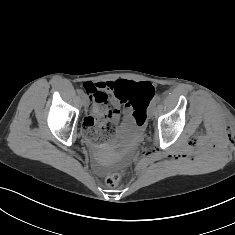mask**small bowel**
I'll list each match as a JSON object with an SVG mask.
<instances>
[{"instance_id":"1","label":"small bowel","mask_w":235,"mask_h":235,"mask_svg":"<svg viewBox=\"0 0 235 235\" xmlns=\"http://www.w3.org/2000/svg\"><path fill=\"white\" fill-rule=\"evenodd\" d=\"M129 83L133 82L127 80L102 81L90 86L92 90L97 91L104 96H106L107 93H115V95L110 98L111 107L106 111L107 118L100 126H97L91 119L98 113L103 112L104 108L96 103L92 106V117H88L86 120V125L90 134L102 138L107 132L110 134V132L115 129L120 119L121 100L118 95L127 88ZM124 113L125 121L123 125L132 124L133 120L131 118V108L129 106L125 107Z\"/></svg>"}]
</instances>
